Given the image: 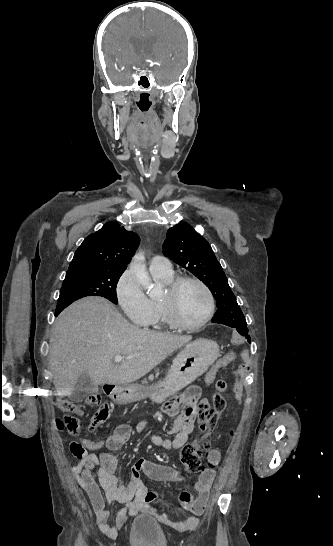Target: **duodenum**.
<instances>
[{
  "mask_svg": "<svg viewBox=\"0 0 333 546\" xmlns=\"http://www.w3.org/2000/svg\"><path fill=\"white\" fill-rule=\"evenodd\" d=\"M108 391L113 394L117 393V389L113 385L108 386Z\"/></svg>",
  "mask_w": 333,
  "mask_h": 546,
  "instance_id": "duodenum-1",
  "label": "duodenum"
}]
</instances>
